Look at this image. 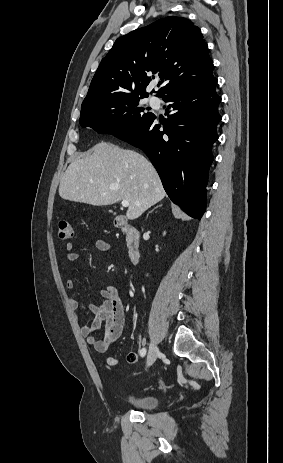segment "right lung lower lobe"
I'll return each instance as SVG.
<instances>
[{
  "label": "right lung lower lobe",
  "instance_id": "obj_1",
  "mask_svg": "<svg viewBox=\"0 0 283 463\" xmlns=\"http://www.w3.org/2000/svg\"><path fill=\"white\" fill-rule=\"evenodd\" d=\"M216 84L213 76L167 93L162 97L171 103L165 123L160 125L153 115L138 129L116 136L148 155L171 201L198 220L206 207L211 146L221 120Z\"/></svg>",
  "mask_w": 283,
  "mask_h": 463
}]
</instances>
